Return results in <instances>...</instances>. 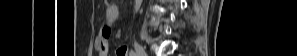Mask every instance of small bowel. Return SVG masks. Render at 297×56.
Returning <instances> with one entry per match:
<instances>
[{"label": "small bowel", "instance_id": "small-bowel-1", "mask_svg": "<svg viewBox=\"0 0 297 56\" xmlns=\"http://www.w3.org/2000/svg\"><path fill=\"white\" fill-rule=\"evenodd\" d=\"M118 15V7L115 4L110 5L106 12V25L101 29L96 41V49L100 56H107L108 54V39L110 36V28L113 22L117 19ZM117 55L125 56L126 48L123 46L119 47L117 50Z\"/></svg>", "mask_w": 297, "mask_h": 56}]
</instances>
